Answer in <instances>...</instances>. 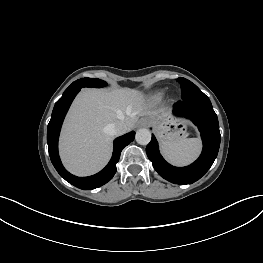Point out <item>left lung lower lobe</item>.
Returning <instances> with one entry per match:
<instances>
[{
	"mask_svg": "<svg viewBox=\"0 0 263 263\" xmlns=\"http://www.w3.org/2000/svg\"><path fill=\"white\" fill-rule=\"evenodd\" d=\"M173 113L191 119L198 126L203 141L200 157L189 166L174 167L160 155L154 135L146 147V153L161 177L174 184H192L205 175L217 157L220 146L218 118L204 93L178 101Z\"/></svg>",
	"mask_w": 263,
	"mask_h": 263,
	"instance_id": "1",
	"label": "left lung lower lobe"
}]
</instances>
